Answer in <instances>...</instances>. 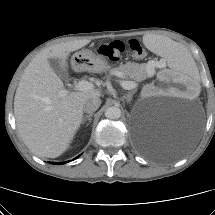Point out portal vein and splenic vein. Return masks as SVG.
Instances as JSON below:
<instances>
[{"mask_svg": "<svg viewBox=\"0 0 215 215\" xmlns=\"http://www.w3.org/2000/svg\"><path fill=\"white\" fill-rule=\"evenodd\" d=\"M120 77H123L121 73H119ZM121 86L126 90H131L137 87V84L133 81H122ZM74 89L77 91H89L93 89V84L91 82L81 80L77 82L74 86ZM68 93L66 89H61L59 91V95L61 97L65 96Z\"/></svg>", "mask_w": 215, "mask_h": 215, "instance_id": "obj_1", "label": "portal vein and splenic vein"}]
</instances>
